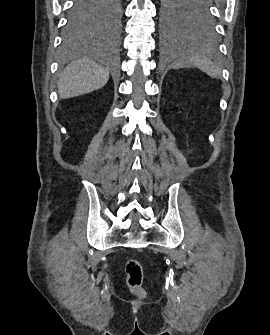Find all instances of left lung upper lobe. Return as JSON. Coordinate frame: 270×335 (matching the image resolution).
Instances as JSON below:
<instances>
[{"label":"left lung upper lobe","mask_w":270,"mask_h":335,"mask_svg":"<svg viewBox=\"0 0 270 335\" xmlns=\"http://www.w3.org/2000/svg\"><path fill=\"white\" fill-rule=\"evenodd\" d=\"M209 0H162L161 27L165 33L187 30L211 32L214 22Z\"/></svg>","instance_id":"5c2ea615"}]
</instances>
